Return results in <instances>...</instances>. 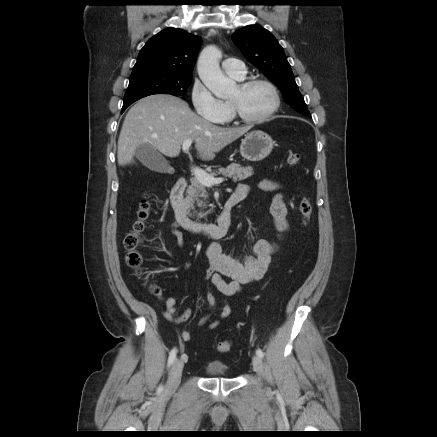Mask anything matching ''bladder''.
I'll list each match as a JSON object with an SVG mask.
<instances>
[{"label": "bladder", "instance_id": "bladder-1", "mask_svg": "<svg viewBox=\"0 0 437 437\" xmlns=\"http://www.w3.org/2000/svg\"><path fill=\"white\" fill-rule=\"evenodd\" d=\"M206 372L213 377H223L228 375L229 367L221 361H213L206 365Z\"/></svg>", "mask_w": 437, "mask_h": 437}]
</instances>
